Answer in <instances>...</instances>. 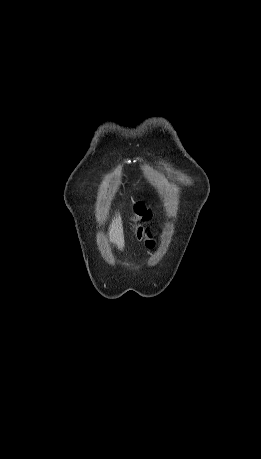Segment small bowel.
<instances>
[{
    "label": "small bowel",
    "mask_w": 261,
    "mask_h": 459,
    "mask_svg": "<svg viewBox=\"0 0 261 459\" xmlns=\"http://www.w3.org/2000/svg\"><path fill=\"white\" fill-rule=\"evenodd\" d=\"M147 217H148V216H147ZM147 217H146V218H147ZM138 236H139V238H142V237L140 236V233L138 234ZM150 238H151V237H150ZM150 238H145V244H146V246H147L148 248H152V247L154 246V241L151 240Z\"/></svg>",
    "instance_id": "small-bowel-1"
}]
</instances>
